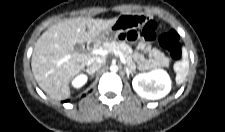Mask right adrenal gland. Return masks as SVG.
Returning <instances> with one entry per match:
<instances>
[{
    "label": "right adrenal gland",
    "instance_id": "obj_1",
    "mask_svg": "<svg viewBox=\"0 0 225 132\" xmlns=\"http://www.w3.org/2000/svg\"><path fill=\"white\" fill-rule=\"evenodd\" d=\"M89 75H91L92 77L94 76V73L95 72H90L88 69L87 70H85Z\"/></svg>",
    "mask_w": 225,
    "mask_h": 132
}]
</instances>
